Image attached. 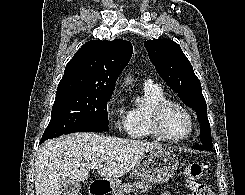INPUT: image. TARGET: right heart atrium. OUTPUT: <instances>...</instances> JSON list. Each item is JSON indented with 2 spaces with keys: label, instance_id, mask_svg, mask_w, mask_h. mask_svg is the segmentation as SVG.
I'll use <instances>...</instances> for the list:
<instances>
[{
  "label": "right heart atrium",
  "instance_id": "obj_1",
  "mask_svg": "<svg viewBox=\"0 0 245 195\" xmlns=\"http://www.w3.org/2000/svg\"><path fill=\"white\" fill-rule=\"evenodd\" d=\"M106 111L109 119L117 132L129 131V111L124 105V100L118 91H114L106 102Z\"/></svg>",
  "mask_w": 245,
  "mask_h": 195
}]
</instances>
